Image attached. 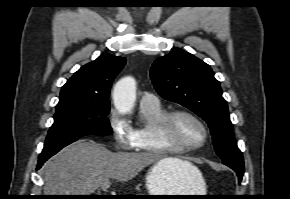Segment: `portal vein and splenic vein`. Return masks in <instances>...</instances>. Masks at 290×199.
<instances>
[{"mask_svg":"<svg viewBox=\"0 0 290 199\" xmlns=\"http://www.w3.org/2000/svg\"><path fill=\"white\" fill-rule=\"evenodd\" d=\"M110 181L109 180H107V181H105L102 185H101V189L102 190H106V189H108L109 188V186H110Z\"/></svg>","mask_w":290,"mask_h":199,"instance_id":"18ae733b","label":"portal vein and splenic vein"}]
</instances>
